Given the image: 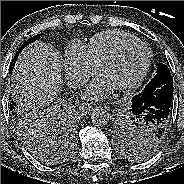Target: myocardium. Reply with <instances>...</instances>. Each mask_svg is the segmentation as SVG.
I'll use <instances>...</instances> for the list:
<instances>
[{"instance_id": "1", "label": "myocardium", "mask_w": 184, "mask_h": 184, "mask_svg": "<svg viewBox=\"0 0 184 184\" xmlns=\"http://www.w3.org/2000/svg\"><path fill=\"white\" fill-rule=\"evenodd\" d=\"M133 46H141L147 50V59L139 72V74L128 84L117 88L120 92H130L135 90L146 77L152 62V51L149 45L139 39H135L133 41L126 42L119 46L116 50H114L108 57H106L101 64L99 65V71H102L111 63L115 62L127 49Z\"/></svg>"}]
</instances>
